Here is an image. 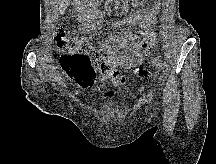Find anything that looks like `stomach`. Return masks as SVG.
I'll use <instances>...</instances> for the list:
<instances>
[{
	"label": "stomach",
	"mask_w": 216,
	"mask_h": 164,
	"mask_svg": "<svg viewBox=\"0 0 216 164\" xmlns=\"http://www.w3.org/2000/svg\"><path fill=\"white\" fill-rule=\"evenodd\" d=\"M134 2L135 5H141L143 3H145L147 0H132Z\"/></svg>",
	"instance_id": "1"
}]
</instances>
